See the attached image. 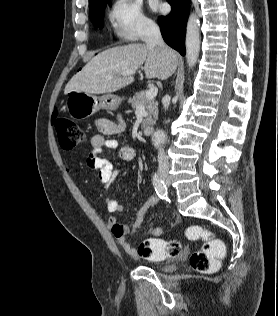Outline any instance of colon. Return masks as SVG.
<instances>
[{"instance_id": "5ec220e1", "label": "colon", "mask_w": 278, "mask_h": 316, "mask_svg": "<svg viewBox=\"0 0 278 316\" xmlns=\"http://www.w3.org/2000/svg\"><path fill=\"white\" fill-rule=\"evenodd\" d=\"M54 126L62 149H73L87 139L85 130L69 118L56 117ZM186 235L193 240H203L202 247L191 254L189 268L203 274L215 271L225 255L223 242L217 239L211 231L201 226L189 227ZM138 253L147 259L174 258L181 254V244L177 240L147 239L139 245Z\"/></svg>"}]
</instances>
